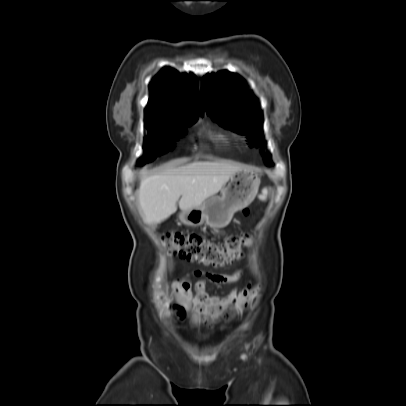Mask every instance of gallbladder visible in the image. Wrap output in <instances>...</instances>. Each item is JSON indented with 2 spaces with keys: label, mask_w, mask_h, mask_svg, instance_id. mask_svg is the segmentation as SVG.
<instances>
[{
  "label": "gallbladder",
  "mask_w": 406,
  "mask_h": 406,
  "mask_svg": "<svg viewBox=\"0 0 406 406\" xmlns=\"http://www.w3.org/2000/svg\"><path fill=\"white\" fill-rule=\"evenodd\" d=\"M152 228H153V229H156V228H157V225H156V224H152Z\"/></svg>",
  "instance_id": "1"
}]
</instances>
